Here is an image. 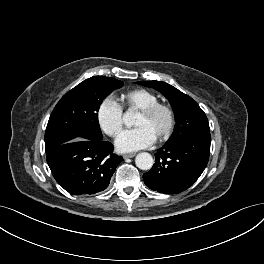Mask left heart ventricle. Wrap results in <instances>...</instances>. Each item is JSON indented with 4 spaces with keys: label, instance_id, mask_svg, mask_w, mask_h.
Segmentation results:
<instances>
[{
    "label": "left heart ventricle",
    "instance_id": "1",
    "mask_svg": "<svg viewBox=\"0 0 264 264\" xmlns=\"http://www.w3.org/2000/svg\"><path fill=\"white\" fill-rule=\"evenodd\" d=\"M166 124L167 117L164 112H159L150 118L138 114L135 120L136 127L147 128L156 138L165 130Z\"/></svg>",
    "mask_w": 264,
    "mask_h": 264
}]
</instances>
